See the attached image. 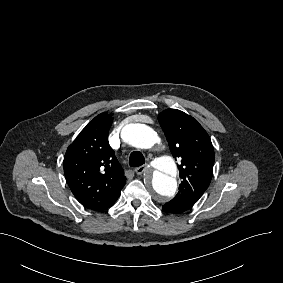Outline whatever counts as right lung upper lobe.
Returning a JSON list of instances; mask_svg holds the SVG:
<instances>
[{"label":"right lung upper lobe","mask_w":283,"mask_h":283,"mask_svg":"<svg viewBox=\"0 0 283 283\" xmlns=\"http://www.w3.org/2000/svg\"><path fill=\"white\" fill-rule=\"evenodd\" d=\"M112 113L96 116L68 147L64 157L67 183L87 209L103 211L120 196L126 177L108 143Z\"/></svg>","instance_id":"1"}]
</instances>
